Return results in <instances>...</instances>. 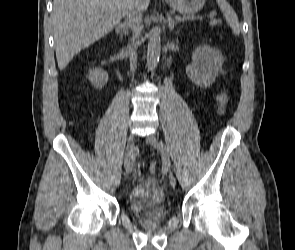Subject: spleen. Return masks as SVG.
Instances as JSON below:
<instances>
[{
    "instance_id": "spleen-1",
    "label": "spleen",
    "mask_w": 295,
    "mask_h": 250,
    "mask_svg": "<svg viewBox=\"0 0 295 250\" xmlns=\"http://www.w3.org/2000/svg\"><path fill=\"white\" fill-rule=\"evenodd\" d=\"M219 8L224 14L227 24L235 35H239L240 25L236 13L226 0H216Z\"/></svg>"
}]
</instances>
